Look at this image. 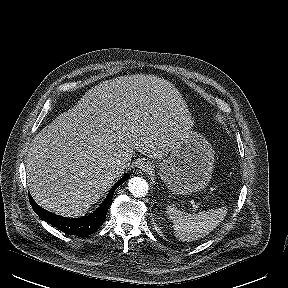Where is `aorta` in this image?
<instances>
[{
	"label": "aorta",
	"instance_id": "762f6f07",
	"mask_svg": "<svg viewBox=\"0 0 288 288\" xmlns=\"http://www.w3.org/2000/svg\"><path fill=\"white\" fill-rule=\"evenodd\" d=\"M128 189L135 197H144L147 195L149 187L142 177H133L128 181Z\"/></svg>",
	"mask_w": 288,
	"mask_h": 288
}]
</instances>
